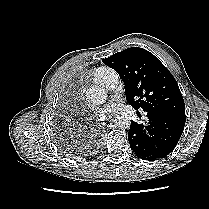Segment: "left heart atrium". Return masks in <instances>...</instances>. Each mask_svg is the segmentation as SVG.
<instances>
[{
  "mask_svg": "<svg viewBox=\"0 0 209 209\" xmlns=\"http://www.w3.org/2000/svg\"><path fill=\"white\" fill-rule=\"evenodd\" d=\"M119 104L117 101L112 100L108 103H106L105 105H103L99 110H98V115L101 118H106L110 115H112L113 113H115L118 110Z\"/></svg>",
  "mask_w": 209,
  "mask_h": 209,
  "instance_id": "39dd6f15",
  "label": "left heart atrium"
}]
</instances>
